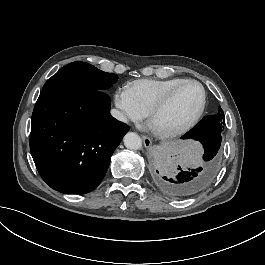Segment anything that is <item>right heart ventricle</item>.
<instances>
[{"mask_svg": "<svg viewBox=\"0 0 265 265\" xmlns=\"http://www.w3.org/2000/svg\"><path fill=\"white\" fill-rule=\"evenodd\" d=\"M183 77L166 79H140L128 84L137 104L149 114L151 109L179 82Z\"/></svg>", "mask_w": 265, "mask_h": 265, "instance_id": "right-heart-ventricle-1", "label": "right heart ventricle"}]
</instances>
